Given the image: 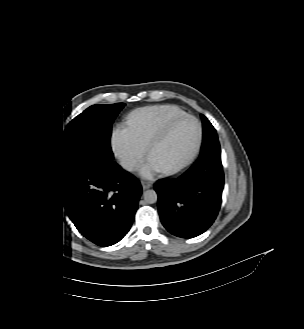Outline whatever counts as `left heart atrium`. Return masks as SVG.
<instances>
[{
    "label": "left heart atrium",
    "instance_id": "1",
    "mask_svg": "<svg viewBox=\"0 0 304 329\" xmlns=\"http://www.w3.org/2000/svg\"><path fill=\"white\" fill-rule=\"evenodd\" d=\"M156 171L157 169L149 163L144 169L143 174L146 177H151Z\"/></svg>",
    "mask_w": 304,
    "mask_h": 329
}]
</instances>
